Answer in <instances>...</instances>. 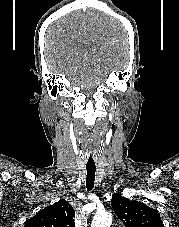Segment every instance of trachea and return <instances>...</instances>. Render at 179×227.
I'll list each match as a JSON object with an SVG mask.
<instances>
[{
	"mask_svg": "<svg viewBox=\"0 0 179 227\" xmlns=\"http://www.w3.org/2000/svg\"><path fill=\"white\" fill-rule=\"evenodd\" d=\"M91 159L87 160L86 170H87V177H86V187L87 191H91L94 187L95 182V172H96V165L95 160L92 159L94 155L91 153L89 155Z\"/></svg>",
	"mask_w": 179,
	"mask_h": 227,
	"instance_id": "1",
	"label": "trachea"
}]
</instances>
